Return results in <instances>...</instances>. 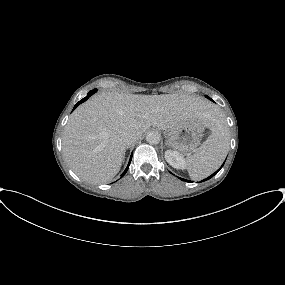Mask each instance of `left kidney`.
<instances>
[{
	"mask_svg": "<svg viewBox=\"0 0 285 285\" xmlns=\"http://www.w3.org/2000/svg\"><path fill=\"white\" fill-rule=\"evenodd\" d=\"M165 159L169 165H171L175 169H184L185 168V160L181 154L177 151L167 150L165 152Z\"/></svg>",
	"mask_w": 285,
	"mask_h": 285,
	"instance_id": "5707ae66",
	"label": "left kidney"
}]
</instances>
